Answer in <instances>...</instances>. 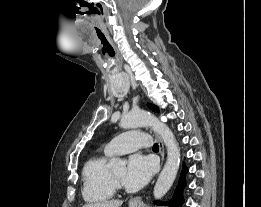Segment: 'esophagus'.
I'll return each mask as SVG.
<instances>
[{"mask_svg": "<svg viewBox=\"0 0 261 207\" xmlns=\"http://www.w3.org/2000/svg\"><path fill=\"white\" fill-rule=\"evenodd\" d=\"M154 136L158 141L159 153H160V156H161V164H163V161H164V145H163L162 140L160 139V137L157 134H154ZM140 202H141V197H135V198L131 199V201H130L131 204H135V205L139 204Z\"/></svg>", "mask_w": 261, "mask_h": 207, "instance_id": "esophagus-1", "label": "esophagus"}]
</instances>
